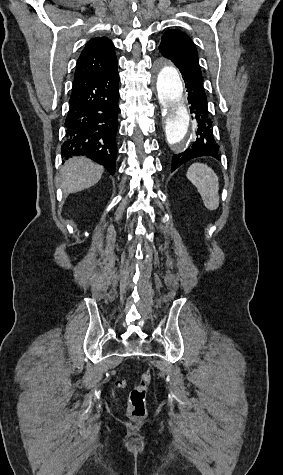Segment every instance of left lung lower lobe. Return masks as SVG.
Listing matches in <instances>:
<instances>
[{
  "mask_svg": "<svg viewBox=\"0 0 283 475\" xmlns=\"http://www.w3.org/2000/svg\"><path fill=\"white\" fill-rule=\"evenodd\" d=\"M177 67L186 83L190 113L193 114L192 119L196 130L189 147L183 153L173 156L171 171L196 157L212 156L216 159L219 158V145L213 135L201 70L199 67L191 65H179Z\"/></svg>",
  "mask_w": 283,
  "mask_h": 475,
  "instance_id": "0a47b994",
  "label": "left lung lower lobe"
}]
</instances>
